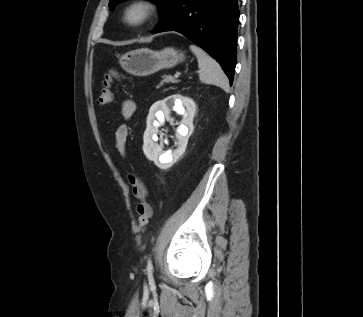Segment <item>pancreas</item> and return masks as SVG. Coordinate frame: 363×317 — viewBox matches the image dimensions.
I'll return each mask as SVG.
<instances>
[{
    "label": "pancreas",
    "mask_w": 363,
    "mask_h": 317,
    "mask_svg": "<svg viewBox=\"0 0 363 317\" xmlns=\"http://www.w3.org/2000/svg\"><path fill=\"white\" fill-rule=\"evenodd\" d=\"M176 83L177 82V80L174 78V77H172V76H164L163 77V80L161 81V85H163V83Z\"/></svg>",
    "instance_id": "cf45deb5"
}]
</instances>
